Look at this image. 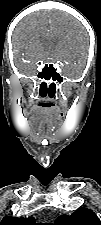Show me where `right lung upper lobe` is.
<instances>
[{"instance_id":"right-lung-upper-lobe-1","label":"right lung upper lobe","mask_w":101,"mask_h":225,"mask_svg":"<svg viewBox=\"0 0 101 225\" xmlns=\"http://www.w3.org/2000/svg\"><path fill=\"white\" fill-rule=\"evenodd\" d=\"M0 225H38L35 223L33 217L28 218H15L11 216H6L2 219Z\"/></svg>"}]
</instances>
